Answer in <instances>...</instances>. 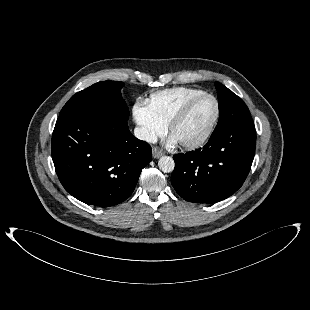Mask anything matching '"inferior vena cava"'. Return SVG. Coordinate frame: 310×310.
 Here are the masks:
<instances>
[{"label": "inferior vena cava", "mask_w": 310, "mask_h": 310, "mask_svg": "<svg viewBox=\"0 0 310 310\" xmlns=\"http://www.w3.org/2000/svg\"><path fill=\"white\" fill-rule=\"evenodd\" d=\"M134 135L136 138L146 141L148 143H156L157 142V136L154 133H151L147 131L144 128L136 127L134 129Z\"/></svg>", "instance_id": "obj_1"}]
</instances>
